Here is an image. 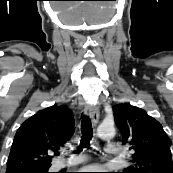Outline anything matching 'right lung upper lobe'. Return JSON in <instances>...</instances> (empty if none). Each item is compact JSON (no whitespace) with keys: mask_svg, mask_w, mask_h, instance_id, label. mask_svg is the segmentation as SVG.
<instances>
[{"mask_svg":"<svg viewBox=\"0 0 173 173\" xmlns=\"http://www.w3.org/2000/svg\"><path fill=\"white\" fill-rule=\"evenodd\" d=\"M74 133L71 110L51 106L38 111L18 129L9 154L6 173L49 169V154L62 147Z\"/></svg>","mask_w":173,"mask_h":173,"instance_id":"right-lung-upper-lobe-1","label":"right lung upper lobe"}]
</instances>
